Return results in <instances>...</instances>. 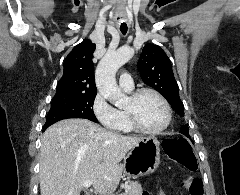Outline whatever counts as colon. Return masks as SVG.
<instances>
[{"label": "colon", "mask_w": 240, "mask_h": 195, "mask_svg": "<svg viewBox=\"0 0 240 195\" xmlns=\"http://www.w3.org/2000/svg\"><path fill=\"white\" fill-rule=\"evenodd\" d=\"M163 150L168 157L188 170L193 171L197 169L198 161L188 139L175 138L164 140ZM158 192L162 193L163 189L159 188ZM188 192L190 195H203L202 181L195 177L188 178Z\"/></svg>", "instance_id": "obj_1"}]
</instances>
